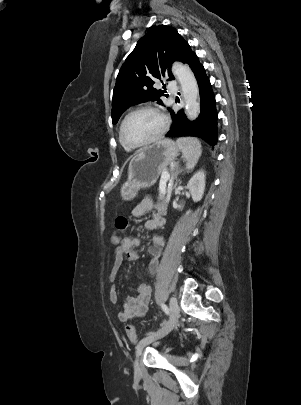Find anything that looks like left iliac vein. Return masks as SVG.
<instances>
[{
    "mask_svg": "<svg viewBox=\"0 0 301 405\" xmlns=\"http://www.w3.org/2000/svg\"><path fill=\"white\" fill-rule=\"evenodd\" d=\"M169 308H170V319L167 324L159 329L158 331L146 336L136 346V359L134 362V370L135 374L139 375L141 373L140 366H139V356L142 350L149 345L150 343L163 338L167 334H169L177 324L178 317H179V307L177 303V299L175 297H171L169 301Z\"/></svg>",
    "mask_w": 301,
    "mask_h": 405,
    "instance_id": "4c4485c4",
    "label": "left iliac vein"
}]
</instances>
